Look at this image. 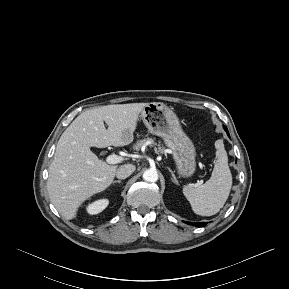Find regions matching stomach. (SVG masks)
<instances>
[{
	"mask_svg": "<svg viewBox=\"0 0 289 289\" xmlns=\"http://www.w3.org/2000/svg\"><path fill=\"white\" fill-rule=\"evenodd\" d=\"M148 130L160 136L172 151L178 174L190 177L195 173V147L182 130L179 118L174 111L161 102L148 103L140 113Z\"/></svg>",
	"mask_w": 289,
	"mask_h": 289,
	"instance_id": "obj_1",
	"label": "stomach"
}]
</instances>
